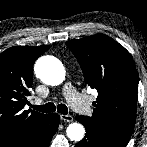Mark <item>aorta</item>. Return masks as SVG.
<instances>
[{"mask_svg":"<svg viewBox=\"0 0 147 147\" xmlns=\"http://www.w3.org/2000/svg\"><path fill=\"white\" fill-rule=\"evenodd\" d=\"M35 74L47 85H60L65 80L63 64L52 56L39 58L34 67ZM67 137L71 141H81L85 135V128L80 123H71L66 129Z\"/></svg>","mask_w":147,"mask_h":147,"instance_id":"1","label":"aorta"}]
</instances>
